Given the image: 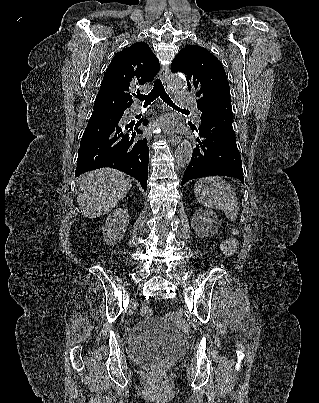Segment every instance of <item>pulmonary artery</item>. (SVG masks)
Segmentation results:
<instances>
[{"mask_svg": "<svg viewBox=\"0 0 319 403\" xmlns=\"http://www.w3.org/2000/svg\"><path fill=\"white\" fill-rule=\"evenodd\" d=\"M179 96V102L178 106L181 108H188V107H194L195 102H194V97L192 94L189 92H181L178 94ZM142 110L141 105L135 104L131 107L130 112L131 114H136ZM197 120H200V112H197Z\"/></svg>", "mask_w": 319, "mask_h": 403, "instance_id": "obj_1", "label": "pulmonary artery"}]
</instances>
